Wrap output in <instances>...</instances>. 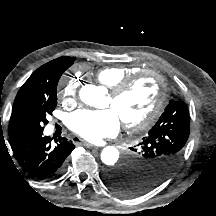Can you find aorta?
Wrapping results in <instances>:
<instances>
[{
	"label": "aorta",
	"instance_id": "obj_1",
	"mask_svg": "<svg viewBox=\"0 0 216 216\" xmlns=\"http://www.w3.org/2000/svg\"><path fill=\"white\" fill-rule=\"evenodd\" d=\"M80 99L87 105L99 107L105 96V90L101 87L86 85L80 89ZM119 151L114 146H107L101 152V160L108 166H113L118 162Z\"/></svg>",
	"mask_w": 216,
	"mask_h": 216
}]
</instances>
